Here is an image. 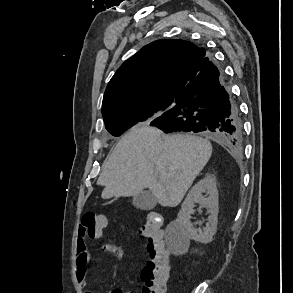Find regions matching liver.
<instances>
[{
  "label": "liver",
  "instance_id": "1",
  "mask_svg": "<svg viewBox=\"0 0 293 293\" xmlns=\"http://www.w3.org/2000/svg\"><path fill=\"white\" fill-rule=\"evenodd\" d=\"M212 154L204 138L137 125L117 143L98 179L101 197L135 196L144 189L164 207H176Z\"/></svg>",
  "mask_w": 293,
  "mask_h": 293
}]
</instances>
